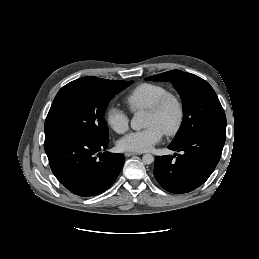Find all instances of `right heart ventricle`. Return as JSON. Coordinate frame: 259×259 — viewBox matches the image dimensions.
I'll list each match as a JSON object with an SVG mask.
<instances>
[{
  "label": "right heart ventricle",
  "mask_w": 259,
  "mask_h": 259,
  "mask_svg": "<svg viewBox=\"0 0 259 259\" xmlns=\"http://www.w3.org/2000/svg\"><path fill=\"white\" fill-rule=\"evenodd\" d=\"M166 93L167 88L160 84L142 83L127 95L126 103L132 111L149 109Z\"/></svg>",
  "instance_id": "e07e8e85"
}]
</instances>
